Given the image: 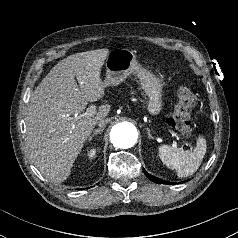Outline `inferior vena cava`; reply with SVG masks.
Returning <instances> with one entry per match:
<instances>
[{
  "label": "inferior vena cava",
  "instance_id": "1",
  "mask_svg": "<svg viewBox=\"0 0 238 238\" xmlns=\"http://www.w3.org/2000/svg\"><path fill=\"white\" fill-rule=\"evenodd\" d=\"M109 122V119L105 118V119H101L98 121V126L99 127H105V125Z\"/></svg>",
  "mask_w": 238,
  "mask_h": 238
}]
</instances>
